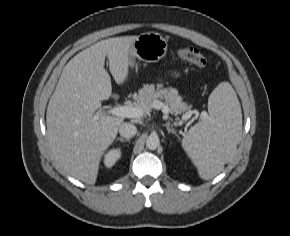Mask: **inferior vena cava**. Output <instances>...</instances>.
<instances>
[{
    "instance_id": "obj_1",
    "label": "inferior vena cava",
    "mask_w": 290,
    "mask_h": 236,
    "mask_svg": "<svg viewBox=\"0 0 290 236\" xmlns=\"http://www.w3.org/2000/svg\"><path fill=\"white\" fill-rule=\"evenodd\" d=\"M119 133L124 138H131L137 133V128L131 123H122L119 127Z\"/></svg>"
}]
</instances>
